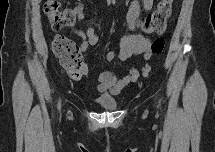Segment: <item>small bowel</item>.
<instances>
[{
    "label": "small bowel",
    "instance_id": "obj_1",
    "mask_svg": "<svg viewBox=\"0 0 215 152\" xmlns=\"http://www.w3.org/2000/svg\"><path fill=\"white\" fill-rule=\"evenodd\" d=\"M154 5L153 0H133L130 2L127 10V24L132 34L124 36L119 44L118 50H109L105 53V59L107 61L113 60H126L133 55H150V41L140 33H136L137 19L140 13L141 6L145 11H150ZM74 11L77 13L79 22H85V16L83 9L80 6H76ZM71 32L81 40V49L85 53L89 46H96L100 42V38L95 32L94 28L87 26L85 32L72 28ZM151 67L148 63H144L140 69L131 68L128 74L123 78H118L112 71L102 72L97 79V88L99 92L103 94L111 93L118 94L123 91L127 86L133 83H138L139 75L142 74L145 78ZM82 74L88 75V68L84 64Z\"/></svg>",
    "mask_w": 215,
    "mask_h": 152
}]
</instances>
